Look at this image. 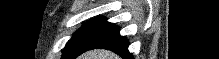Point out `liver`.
<instances>
[{"instance_id":"obj_1","label":"liver","mask_w":219,"mask_h":59,"mask_svg":"<svg viewBox=\"0 0 219 59\" xmlns=\"http://www.w3.org/2000/svg\"><path fill=\"white\" fill-rule=\"evenodd\" d=\"M79 59H120L119 56L108 50H92L84 53Z\"/></svg>"}]
</instances>
